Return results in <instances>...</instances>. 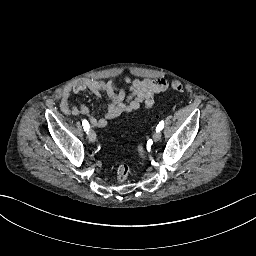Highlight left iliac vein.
Instances as JSON below:
<instances>
[{"label": "left iliac vein", "instance_id": "left-iliac-vein-1", "mask_svg": "<svg viewBox=\"0 0 256 256\" xmlns=\"http://www.w3.org/2000/svg\"><path fill=\"white\" fill-rule=\"evenodd\" d=\"M153 139L154 141H159L161 139V133L160 131H156L154 134H153Z\"/></svg>", "mask_w": 256, "mask_h": 256}]
</instances>
